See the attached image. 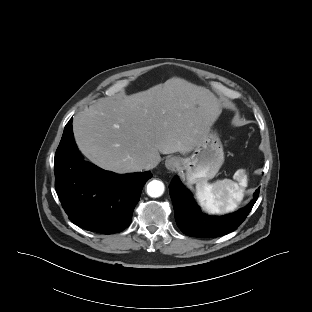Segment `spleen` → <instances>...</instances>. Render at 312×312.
<instances>
[{"label":"spleen","instance_id":"obj_1","mask_svg":"<svg viewBox=\"0 0 312 312\" xmlns=\"http://www.w3.org/2000/svg\"><path fill=\"white\" fill-rule=\"evenodd\" d=\"M233 181L223 179L213 184L207 182L196 185V197L200 205L211 214H224L235 210L244 197L247 177L243 169L234 174Z\"/></svg>","mask_w":312,"mask_h":312}]
</instances>
